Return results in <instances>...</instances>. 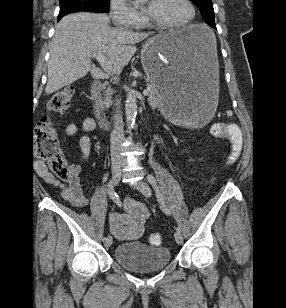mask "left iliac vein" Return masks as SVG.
<instances>
[{
    "instance_id": "4c4485c4",
    "label": "left iliac vein",
    "mask_w": 286,
    "mask_h": 308,
    "mask_svg": "<svg viewBox=\"0 0 286 308\" xmlns=\"http://www.w3.org/2000/svg\"><path fill=\"white\" fill-rule=\"evenodd\" d=\"M120 166H124L125 165V161L123 158H120L119 160ZM134 187L140 191L143 195H145L146 197H150L151 196V188L148 185V183H146L145 181H138ZM175 240L178 244H182L183 243V236L181 234V232L176 231L174 234Z\"/></svg>"
}]
</instances>
